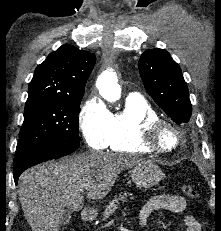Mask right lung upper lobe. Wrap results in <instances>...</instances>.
<instances>
[{
	"instance_id": "1",
	"label": "right lung upper lobe",
	"mask_w": 221,
	"mask_h": 231,
	"mask_svg": "<svg viewBox=\"0 0 221 231\" xmlns=\"http://www.w3.org/2000/svg\"><path fill=\"white\" fill-rule=\"evenodd\" d=\"M95 62L93 53L70 44L61 46L35 69L26 103L83 97Z\"/></svg>"
}]
</instances>
